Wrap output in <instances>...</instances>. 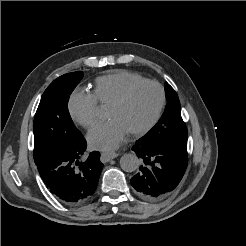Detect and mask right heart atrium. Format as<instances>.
Here are the masks:
<instances>
[{
    "label": "right heart atrium",
    "mask_w": 246,
    "mask_h": 246,
    "mask_svg": "<svg viewBox=\"0 0 246 246\" xmlns=\"http://www.w3.org/2000/svg\"><path fill=\"white\" fill-rule=\"evenodd\" d=\"M68 112L75 123L88 128L97 121L98 103L92 93L75 90L68 100Z\"/></svg>",
    "instance_id": "1"
}]
</instances>
